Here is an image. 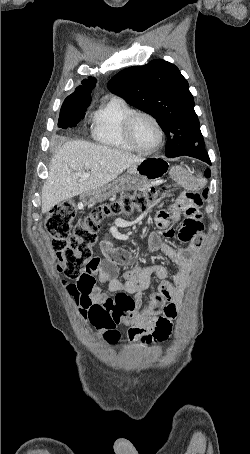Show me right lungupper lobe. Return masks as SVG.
Listing matches in <instances>:
<instances>
[{"mask_svg":"<svg viewBox=\"0 0 250 454\" xmlns=\"http://www.w3.org/2000/svg\"><path fill=\"white\" fill-rule=\"evenodd\" d=\"M81 83L82 85L78 86L75 91L65 99L63 104L91 102L90 94L96 85V79L94 77H89Z\"/></svg>","mask_w":250,"mask_h":454,"instance_id":"right-lung-upper-lobe-1","label":"right lung upper lobe"}]
</instances>
